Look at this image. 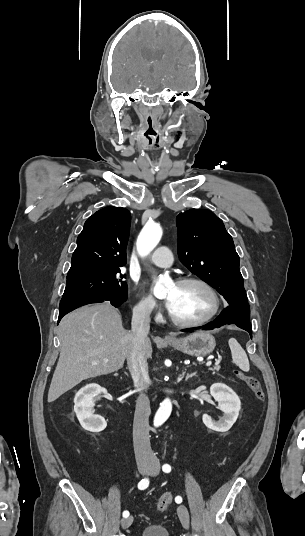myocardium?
<instances>
[{"mask_svg": "<svg viewBox=\"0 0 305 536\" xmlns=\"http://www.w3.org/2000/svg\"><path fill=\"white\" fill-rule=\"evenodd\" d=\"M188 284L202 285L213 294L215 301H216V306H215L214 311L204 319L189 320V319L178 316L169 308L168 315L170 319L174 323L181 325V326H185V327H200V326H204V325L211 323L221 314L224 308V300L220 291L209 281L200 277H195V276L183 277L177 282L176 285H188Z\"/></svg>", "mask_w": 305, "mask_h": 536, "instance_id": "f54148a6", "label": "myocardium"}]
</instances>
